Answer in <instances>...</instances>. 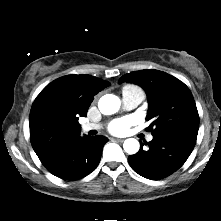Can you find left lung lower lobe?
Masks as SVG:
<instances>
[{
	"label": "left lung lower lobe",
	"instance_id": "left-lung-lower-lobe-1",
	"mask_svg": "<svg viewBox=\"0 0 221 221\" xmlns=\"http://www.w3.org/2000/svg\"><path fill=\"white\" fill-rule=\"evenodd\" d=\"M148 145V150H143ZM195 142L173 134L153 136L149 143L144 142L138 153L130 155L128 161L139 175L159 180L178 170L188 159Z\"/></svg>",
	"mask_w": 221,
	"mask_h": 221
}]
</instances>
